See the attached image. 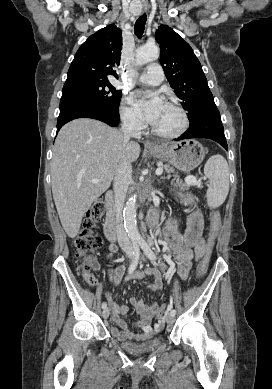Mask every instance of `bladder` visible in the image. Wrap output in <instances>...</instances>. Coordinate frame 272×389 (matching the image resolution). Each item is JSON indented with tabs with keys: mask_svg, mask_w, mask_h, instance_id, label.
Masks as SVG:
<instances>
[{
	"mask_svg": "<svg viewBox=\"0 0 272 389\" xmlns=\"http://www.w3.org/2000/svg\"><path fill=\"white\" fill-rule=\"evenodd\" d=\"M161 339L150 338L141 343H135L131 341H119L120 347L133 355H140L150 353L156 350L161 345Z\"/></svg>",
	"mask_w": 272,
	"mask_h": 389,
	"instance_id": "31cf9c89",
	"label": "bladder"
}]
</instances>
